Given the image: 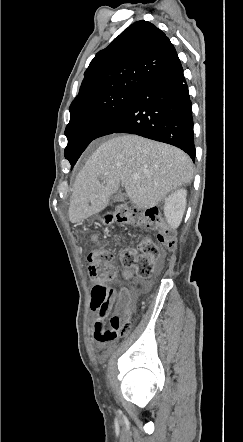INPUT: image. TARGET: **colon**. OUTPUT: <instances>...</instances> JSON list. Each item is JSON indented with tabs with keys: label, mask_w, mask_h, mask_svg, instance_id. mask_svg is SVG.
<instances>
[{
	"label": "colon",
	"mask_w": 243,
	"mask_h": 442,
	"mask_svg": "<svg viewBox=\"0 0 243 442\" xmlns=\"http://www.w3.org/2000/svg\"><path fill=\"white\" fill-rule=\"evenodd\" d=\"M117 222L132 226H146L159 229L156 241L143 238L137 249L125 248L121 252V262L126 266H134L138 275L149 278L153 274L154 262L160 256L158 244L169 249L175 246V238L164 227L158 216V208L149 206L144 209L128 210L119 207L114 212L106 215L105 223ZM88 253V273L92 283L93 308H101L112 303L115 296L110 280L114 277V269L109 263L110 255L100 243L99 239L92 235L85 239ZM133 309L121 311L111 319L110 329L106 330L101 337L103 341H113L119 336L128 334L132 327Z\"/></svg>",
	"instance_id": "colon-1"
}]
</instances>
